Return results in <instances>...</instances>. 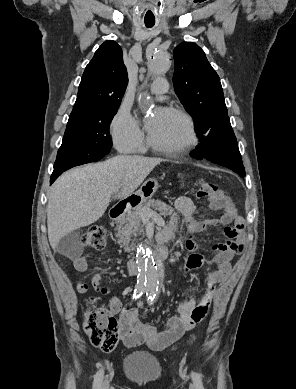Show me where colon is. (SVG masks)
<instances>
[{
  "label": "colon",
  "instance_id": "colon-1",
  "mask_svg": "<svg viewBox=\"0 0 296 389\" xmlns=\"http://www.w3.org/2000/svg\"><path fill=\"white\" fill-rule=\"evenodd\" d=\"M196 196L200 200L210 201L211 205L224 200L219 187L205 181L200 182ZM80 241L83 246L95 249H103L107 245L105 231L97 225L83 233ZM205 315L206 312H194L191 317L194 322L198 323L204 319ZM84 328L92 345L105 352L112 351L121 336L119 322L104 307L91 308L85 312Z\"/></svg>",
  "mask_w": 296,
  "mask_h": 389
}]
</instances>
